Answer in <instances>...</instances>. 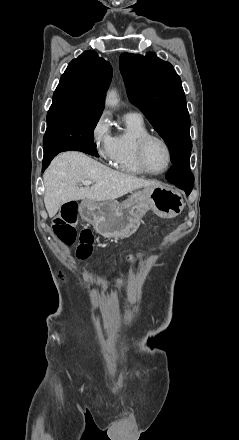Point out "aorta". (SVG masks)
Wrapping results in <instances>:
<instances>
[{
	"instance_id": "1",
	"label": "aorta",
	"mask_w": 239,
	"mask_h": 440,
	"mask_svg": "<svg viewBox=\"0 0 239 440\" xmlns=\"http://www.w3.org/2000/svg\"><path fill=\"white\" fill-rule=\"evenodd\" d=\"M119 102L118 94L115 92V90H110L106 96V106H111V108H114V106H117Z\"/></svg>"
}]
</instances>
